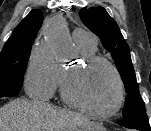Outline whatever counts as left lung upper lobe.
<instances>
[{
	"label": "left lung upper lobe",
	"instance_id": "left-lung-upper-lobe-1",
	"mask_svg": "<svg viewBox=\"0 0 151 131\" xmlns=\"http://www.w3.org/2000/svg\"><path fill=\"white\" fill-rule=\"evenodd\" d=\"M79 16L83 23L100 38L104 48L112 54L127 93L122 115L128 117L146 112L145 103L139 93V84L132 65L130 49L123 39L116 21L103 7L81 9Z\"/></svg>",
	"mask_w": 151,
	"mask_h": 131
}]
</instances>
